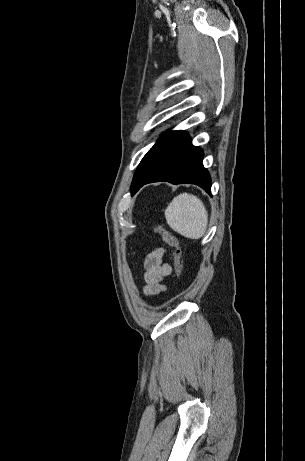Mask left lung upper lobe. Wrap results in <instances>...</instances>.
<instances>
[{"label":"left lung upper lobe","mask_w":305,"mask_h":461,"mask_svg":"<svg viewBox=\"0 0 305 461\" xmlns=\"http://www.w3.org/2000/svg\"><path fill=\"white\" fill-rule=\"evenodd\" d=\"M151 164H152V152L151 150H149L147 152V154L143 157V159L141 160L135 174H134V177H133V181H132V185H131V191L133 189V187L136 185V183L141 179L143 178L146 173L149 171L150 167H151Z\"/></svg>","instance_id":"1"}]
</instances>
